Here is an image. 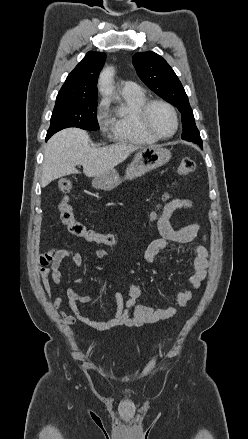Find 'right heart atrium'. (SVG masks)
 Returning <instances> with one entry per match:
<instances>
[{"instance_id":"right-heart-atrium-1","label":"right heart atrium","mask_w":248,"mask_h":439,"mask_svg":"<svg viewBox=\"0 0 248 439\" xmlns=\"http://www.w3.org/2000/svg\"><path fill=\"white\" fill-rule=\"evenodd\" d=\"M109 117L107 101L101 100L97 106L96 119L103 131L109 128Z\"/></svg>"}]
</instances>
